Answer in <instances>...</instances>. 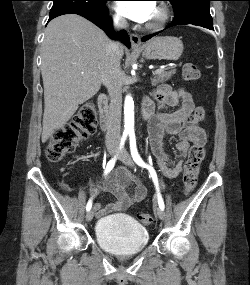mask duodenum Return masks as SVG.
Masks as SVG:
<instances>
[{
  "instance_id": "duodenum-1",
  "label": "duodenum",
  "mask_w": 250,
  "mask_h": 285,
  "mask_svg": "<svg viewBox=\"0 0 250 285\" xmlns=\"http://www.w3.org/2000/svg\"><path fill=\"white\" fill-rule=\"evenodd\" d=\"M99 118L102 129H106L109 119V105L108 98L106 95L101 94L98 98ZM151 114V108L149 105H145L143 108L144 118H148Z\"/></svg>"
}]
</instances>
